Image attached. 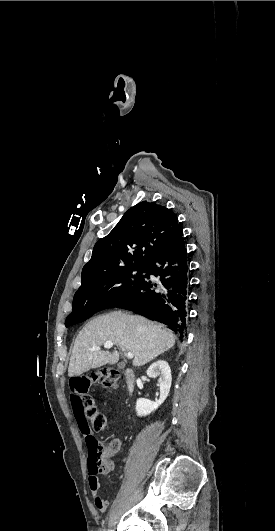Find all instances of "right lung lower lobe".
<instances>
[{
  "label": "right lung lower lobe",
  "instance_id": "obj_1",
  "mask_svg": "<svg viewBox=\"0 0 275 531\" xmlns=\"http://www.w3.org/2000/svg\"><path fill=\"white\" fill-rule=\"evenodd\" d=\"M187 252L179 224L146 266V274L129 298L116 306L168 325L186 335ZM150 274L159 278L154 283Z\"/></svg>",
  "mask_w": 275,
  "mask_h": 531
}]
</instances>
